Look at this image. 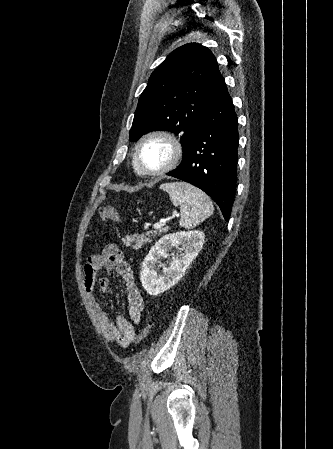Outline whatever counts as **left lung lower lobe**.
Instances as JSON below:
<instances>
[{"label":"left lung lower lobe","instance_id":"obj_1","mask_svg":"<svg viewBox=\"0 0 333 449\" xmlns=\"http://www.w3.org/2000/svg\"><path fill=\"white\" fill-rule=\"evenodd\" d=\"M238 141L237 116L225 87L195 131L182 164L167 173L208 194L226 221L234 201Z\"/></svg>","mask_w":333,"mask_h":449}]
</instances>
